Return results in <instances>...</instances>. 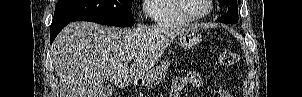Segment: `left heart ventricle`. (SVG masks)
Returning a JSON list of instances; mask_svg holds the SVG:
<instances>
[{"mask_svg": "<svg viewBox=\"0 0 302 97\" xmlns=\"http://www.w3.org/2000/svg\"><path fill=\"white\" fill-rule=\"evenodd\" d=\"M186 12L191 15H200L206 11V0H182Z\"/></svg>", "mask_w": 302, "mask_h": 97, "instance_id": "1", "label": "left heart ventricle"}]
</instances>
